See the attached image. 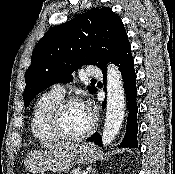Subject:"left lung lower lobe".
I'll use <instances>...</instances> for the list:
<instances>
[{
	"instance_id": "obj_1",
	"label": "left lung lower lobe",
	"mask_w": 175,
	"mask_h": 174,
	"mask_svg": "<svg viewBox=\"0 0 175 174\" xmlns=\"http://www.w3.org/2000/svg\"><path fill=\"white\" fill-rule=\"evenodd\" d=\"M114 64L118 66L121 71V75L124 81V88L126 94V101L128 106V118L126 124V133L123 141L119 147L137 148V87H136V73L134 70V61L131 54V45L128 44L123 51L120 53ZM104 79L106 77V69L103 70ZM106 101L102 103L103 108L105 107ZM87 141L95 142L98 146H102L101 136L96 132Z\"/></svg>"
}]
</instances>
